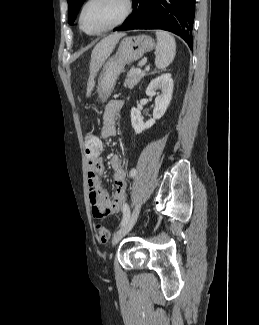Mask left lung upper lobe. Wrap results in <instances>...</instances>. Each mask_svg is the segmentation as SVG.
Returning <instances> with one entry per match:
<instances>
[{"label":"left lung upper lobe","mask_w":259,"mask_h":325,"mask_svg":"<svg viewBox=\"0 0 259 325\" xmlns=\"http://www.w3.org/2000/svg\"><path fill=\"white\" fill-rule=\"evenodd\" d=\"M85 0H67L68 4H69V8H68V21L69 24H73L76 15L81 7V5L83 4Z\"/></svg>","instance_id":"1"}]
</instances>
